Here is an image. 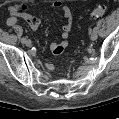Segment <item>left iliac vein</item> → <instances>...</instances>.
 Listing matches in <instances>:
<instances>
[{
  "label": "left iliac vein",
  "instance_id": "obj_1",
  "mask_svg": "<svg viewBox=\"0 0 119 119\" xmlns=\"http://www.w3.org/2000/svg\"><path fill=\"white\" fill-rule=\"evenodd\" d=\"M97 38H98L97 32H92L91 35H90V39H91L92 41H95Z\"/></svg>",
  "mask_w": 119,
  "mask_h": 119
}]
</instances>
